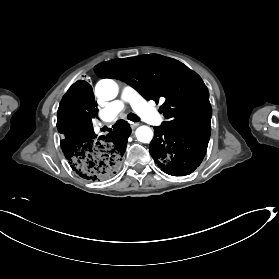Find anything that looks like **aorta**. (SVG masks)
I'll use <instances>...</instances> for the list:
<instances>
[{
    "label": "aorta",
    "mask_w": 279,
    "mask_h": 279,
    "mask_svg": "<svg viewBox=\"0 0 279 279\" xmlns=\"http://www.w3.org/2000/svg\"><path fill=\"white\" fill-rule=\"evenodd\" d=\"M118 85L112 79H102L95 87V94L101 100H112L118 95ZM136 137L140 142L149 143L153 138V131L148 126H140L136 130Z\"/></svg>",
    "instance_id": "obj_1"
}]
</instances>
